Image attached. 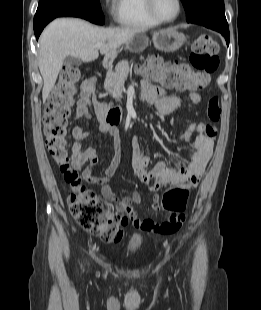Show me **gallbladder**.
I'll return each instance as SVG.
<instances>
[{
    "instance_id": "obj_1",
    "label": "gallbladder",
    "mask_w": 261,
    "mask_h": 310,
    "mask_svg": "<svg viewBox=\"0 0 261 310\" xmlns=\"http://www.w3.org/2000/svg\"><path fill=\"white\" fill-rule=\"evenodd\" d=\"M64 64L68 67L79 66L81 64L80 59L74 56H66Z\"/></svg>"
}]
</instances>
